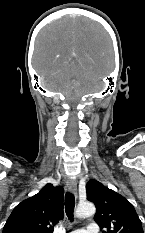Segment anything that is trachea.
Masks as SVG:
<instances>
[{"label":"trachea","mask_w":145,"mask_h":233,"mask_svg":"<svg viewBox=\"0 0 145 233\" xmlns=\"http://www.w3.org/2000/svg\"><path fill=\"white\" fill-rule=\"evenodd\" d=\"M75 198L72 193L67 192L65 195V211L69 220L72 222L74 217Z\"/></svg>","instance_id":"obj_1"}]
</instances>
